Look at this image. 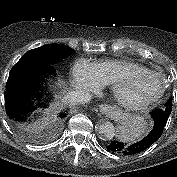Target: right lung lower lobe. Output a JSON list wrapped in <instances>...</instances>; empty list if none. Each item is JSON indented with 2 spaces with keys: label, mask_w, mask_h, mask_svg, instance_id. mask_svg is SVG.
Wrapping results in <instances>:
<instances>
[{
  "label": "right lung lower lobe",
  "mask_w": 177,
  "mask_h": 177,
  "mask_svg": "<svg viewBox=\"0 0 177 177\" xmlns=\"http://www.w3.org/2000/svg\"><path fill=\"white\" fill-rule=\"evenodd\" d=\"M52 63L41 58L22 57L13 67L6 85L5 108L9 118L15 122L26 120V116L39 107L42 101L41 85L44 77L54 75ZM66 115L61 113L60 118Z\"/></svg>",
  "instance_id": "98d812e1"
}]
</instances>
